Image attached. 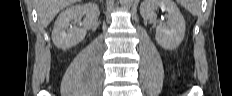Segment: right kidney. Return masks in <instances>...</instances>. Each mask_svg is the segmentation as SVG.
I'll return each mask as SVG.
<instances>
[{
    "label": "right kidney",
    "mask_w": 232,
    "mask_h": 96,
    "mask_svg": "<svg viewBox=\"0 0 232 96\" xmlns=\"http://www.w3.org/2000/svg\"><path fill=\"white\" fill-rule=\"evenodd\" d=\"M99 8L96 4L87 3L84 5H74L60 13L52 31V40L56 47L69 49L80 43L86 31L93 27L99 17ZM86 16L83 27L72 25L71 21Z\"/></svg>",
    "instance_id": "obj_1"
}]
</instances>
